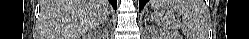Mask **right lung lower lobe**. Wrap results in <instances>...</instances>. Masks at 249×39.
<instances>
[{"instance_id": "98d812e1", "label": "right lung lower lobe", "mask_w": 249, "mask_h": 39, "mask_svg": "<svg viewBox=\"0 0 249 39\" xmlns=\"http://www.w3.org/2000/svg\"><path fill=\"white\" fill-rule=\"evenodd\" d=\"M112 6L116 9L117 8V0H109Z\"/></svg>"}]
</instances>
